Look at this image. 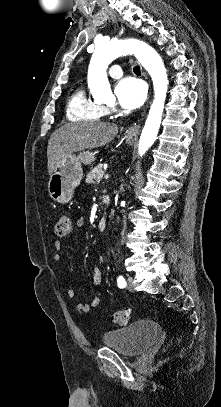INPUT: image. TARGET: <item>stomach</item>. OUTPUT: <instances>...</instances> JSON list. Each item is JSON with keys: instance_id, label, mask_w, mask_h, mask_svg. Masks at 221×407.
I'll return each instance as SVG.
<instances>
[{"instance_id": "stomach-1", "label": "stomach", "mask_w": 221, "mask_h": 407, "mask_svg": "<svg viewBox=\"0 0 221 407\" xmlns=\"http://www.w3.org/2000/svg\"><path fill=\"white\" fill-rule=\"evenodd\" d=\"M133 140V135H126L127 143ZM95 154L96 152L88 150L77 155L72 153L60 159L48 182V193L54 201L66 204L72 199L75 188L83 178L82 164L93 163Z\"/></svg>"}]
</instances>
